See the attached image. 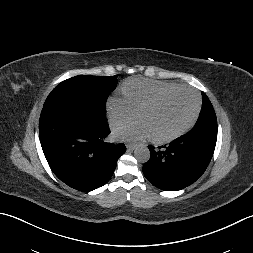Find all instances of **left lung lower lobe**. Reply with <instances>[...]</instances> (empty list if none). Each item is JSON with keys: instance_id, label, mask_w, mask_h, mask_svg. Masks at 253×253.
Here are the masks:
<instances>
[{"instance_id": "obj_1", "label": "left lung lower lobe", "mask_w": 253, "mask_h": 253, "mask_svg": "<svg viewBox=\"0 0 253 253\" xmlns=\"http://www.w3.org/2000/svg\"><path fill=\"white\" fill-rule=\"evenodd\" d=\"M217 135L190 131L169 145L148 146L150 159L143 166L145 177L157 188L181 190L194 183L209 165Z\"/></svg>"}]
</instances>
